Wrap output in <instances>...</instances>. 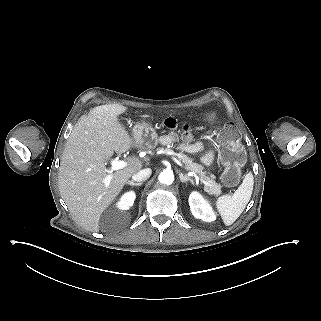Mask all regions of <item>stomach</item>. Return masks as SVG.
Returning a JSON list of instances; mask_svg holds the SVG:
<instances>
[{
	"mask_svg": "<svg viewBox=\"0 0 321 321\" xmlns=\"http://www.w3.org/2000/svg\"><path fill=\"white\" fill-rule=\"evenodd\" d=\"M214 114L210 119H214ZM157 133L150 123L141 122L133 128L132 142L133 147L144 150H153L158 144Z\"/></svg>",
	"mask_w": 321,
	"mask_h": 321,
	"instance_id": "1",
	"label": "stomach"
}]
</instances>
